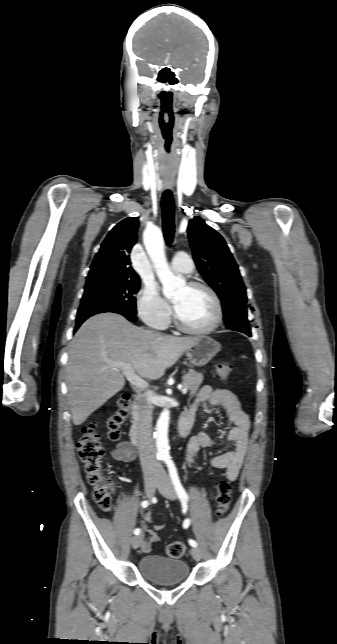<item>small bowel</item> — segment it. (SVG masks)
I'll return each mask as SVG.
<instances>
[{
	"label": "small bowel",
	"mask_w": 337,
	"mask_h": 644,
	"mask_svg": "<svg viewBox=\"0 0 337 644\" xmlns=\"http://www.w3.org/2000/svg\"><path fill=\"white\" fill-rule=\"evenodd\" d=\"M202 405L207 406L201 408L202 413H205L207 408L223 407L233 424V427L227 432L225 440L233 442L234 448L230 451L213 455L210 458V464L214 468H226V478L229 481H234L239 474L248 447L249 417L242 409L238 397L228 389L216 388L210 385L203 386L193 404L184 414L190 416L193 420L195 413ZM214 444L215 440L205 432H199L192 436L186 450L187 463L191 464L193 462L194 456L201 448H208ZM111 455L116 461L131 462L136 458V449L130 442L123 441L111 452ZM145 521L153 522V518L148 513L143 512L140 525L144 534L140 548L147 553L150 552L155 543L159 542L160 538L157 532L164 530L165 525L156 523L153 524L151 529H148Z\"/></svg>",
	"instance_id": "1"
}]
</instances>
